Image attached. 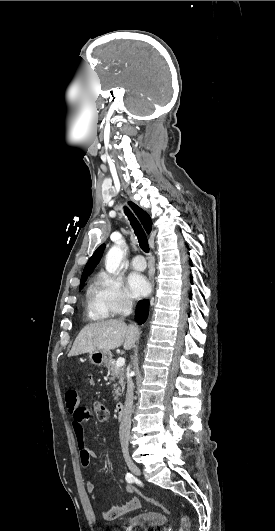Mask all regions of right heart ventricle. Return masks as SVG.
<instances>
[{
	"instance_id": "1",
	"label": "right heart ventricle",
	"mask_w": 275,
	"mask_h": 531,
	"mask_svg": "<svg viewBox=\"0 0 275 531\" xmlns=\"http://www.w3.org/2000/svg\"><path fill=\"white\" fill-rule=\"evenodd\" d=\"M92 314L97 317V318H102L103 316L99 315V314H96L95 312L92 311Z\"/></svg>"
}]
</instances>
